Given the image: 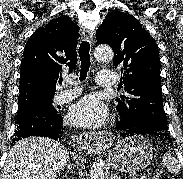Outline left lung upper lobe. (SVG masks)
Returning <instances> with one entry per match:
<instances>
[{"label": "left lung upper lobe", "instance_id": "obj_1", "mask_svg": "<svg viewBox=\"0 0 183 179\" xmlns=\"http://www.w3.org/2000/svg\"><path fill=\"white\" fill-rule=\"evenodd\" d=\"M96 39L113 48V65L122 66L121 81L129 95L116 100L120 118L134 126L168 132L159 52L153 37L132 15L112 11L97 29Z\"/></svg>", "mask_w": 183, "mask_h": 179}]
</instances>
